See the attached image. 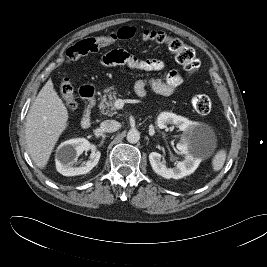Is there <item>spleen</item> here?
<instances>
[{
    "instance_id": "obj_1",
    "label": "spleen",
    "mask_w": 267,
    "mask_h": 267,
    "mask_svg": "<svg viewBox=\"0 0 267 267\" xmlns=\"http://www.w3.org/2000/svg\"><path fill=\"white\" fill-rule=\"evenodd\" d=\"M226 151L221 149L212 158V168L214 171H219L222 169L226 160Z\"/></svg>"
}]
</instances>
